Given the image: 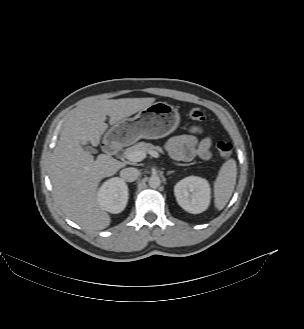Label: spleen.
<instances>
[{"instance_id":"spleen-1","label":"spleen","mask_w":304,"mask_h":329,"mask_svg":"<svg viewBox=\"0 0 304 329\" xmlns=\"http://www.w3.org/2000/svg\"><path fill=\"white\" fill-rule=\"evenodd\" d=\"M236 178V161L231 158L223 163L214 182V204L218 210H222L232 196Z\"/></svg>"}]
</instances>
